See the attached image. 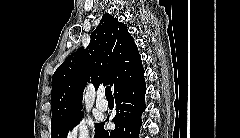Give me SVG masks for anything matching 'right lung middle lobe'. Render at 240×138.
Instances as JSON below:
<instances>
[{
  "instance_id": "right-lung-middle-lobe-1",
  "label": "right lung middle lobe",
  "mask_w": 240,
  "mask_h": 138,
  "mask_svg": "<svg viewBox=\"0 0 240 138\" xmlns=\"http://www.w3.org/2000/svg\"><path fill=\"white\" fill-rule=\"evenodd\" d=\"M83 113L76 117L55 125H51V138H66L69 130L79 124ZM100 123L95 124V133L98 130Z\"/></svg>"
}]
</instances>
